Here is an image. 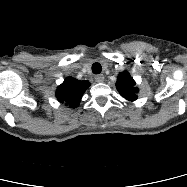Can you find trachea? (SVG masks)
Wrapping results in <instances>:
<instances>
[{
    "label": "trachea",
    "instance_id": "3493384b",
    "mask_svg": "<svg viewBox=\"0 0 187 187\" xmlns=\"http://www.w3.org/2000/svg\"><path fill=\"white\" fill-rule=\"evenodd\" d=\"M101 71H102V66H101V64L100 63H94L93 65H92V72L94 73V74H100L101 73Z\"/></svg>",
    "mask_w": 187,
    "mask_h": 187
}]
</instances>
